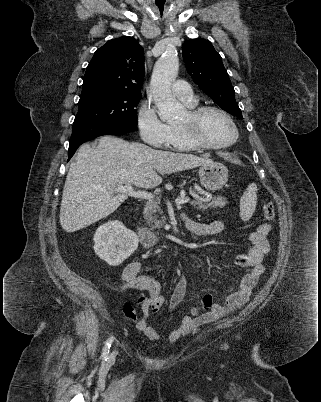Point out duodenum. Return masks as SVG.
<instances>
[{"label": "duodenum", "mask_w": 321, "mask_h": 402, "mask_svg": "<svg viewBox=\"0 0 321 402\" xmlns=\"http://www.w3.org/2000/svg\"><path fill=\"white\" fill-rule=\"evenodd\" d=\"M135 231L138 234L141 245L145 248H155L162 241L159 235L142 226H135Z\"/></svg>", "instance_id": "duodenum-1"}]
</instances>
